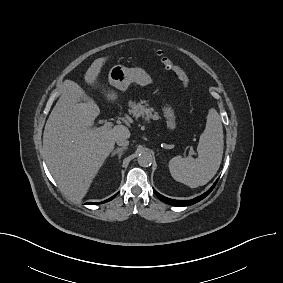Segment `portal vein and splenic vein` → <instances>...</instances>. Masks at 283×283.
<instances>
[{
	"mask_svg": "<svg viewBox=\"0 0 283 283\" xmlns=\"http://www.w3.org/2000/svg\"><path fill=\"white\" fill-rule=\"evenodd\" d=\"M112 126H113L112 122L105 120L103 126L99 127L98 129L99 130H108V129L112 128ZM189 154L190 155L195 154L192 147L190 148Z\"/></svg>",
	"mask_w": 283,
	"mask_h": 283,
	"instance_id": "portal-vein-and-splenic-vein-1",
	"label": "portal vein and splenic vein"
}]
</instances>
